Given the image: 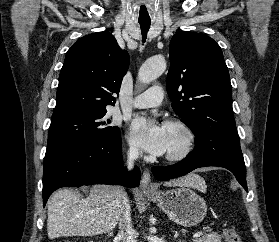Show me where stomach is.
I'll return each instance as SVG.
<instances>
[{
	"label": "stomach",
	"mask_w": 279,
	"mask_h": 242,
	"mask_svg": "<svg viewBox=\"0 0 279 242\" xmlns=\"http://www.w3.org/2000/svg\"><path fill=\"white\" fill-rule=\"evenodd\" d=\"M147 196L172 221L182 226H197L202 222L207 213V205L204 199L186 186H180L167 191L148 193Z\"/></svg>",
	"instance_id": "1"
}]
</instances>
